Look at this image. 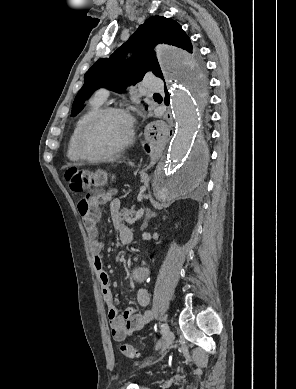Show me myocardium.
Listing matches in <instances>:
<instances>
[{
  "label": "myocardium",
  "instance_id": "1",
  "mask_svg": "<svg viewBox=\"0 0 296 389\" xmlns=\"http://www.w3.org/2000/svg\"><path fill=\"white\" fill-rule=\"evenodd\" d=\"M109 114H121L128 118L129 120V131L126 139L124 142H122L119 146H117L115 149L104 153L100 155H92L88 152L86 147V138L90 131V129L93 127V125L99 121L101 118H103L106 115ZM135 137V128H134V121L130 114L121 107H115V106H108L100 108L98 111H96L93 115H91L86 122L83 124V126L80 129L78 140H77V149L78 152L84 160L90 161V162H99L108 160L114 157H117L118 155L122 154L130 145L133 143Z\"/></svg>",
  "mask_w": 296,
  "mask_h": 389
}]
</instances>
